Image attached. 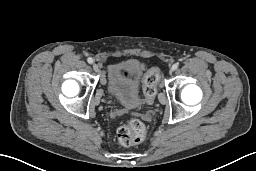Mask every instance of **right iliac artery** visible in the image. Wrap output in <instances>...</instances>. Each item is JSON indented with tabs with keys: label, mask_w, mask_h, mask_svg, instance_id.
<instances>
[{
	"label": "right iliac artery",
	"mask_w": 256,
	"mask_h": 171,
	"mask_svg": "<svg viewBox=\"0 0 256 171\" xmlns=\"http://www.w3.org/2000/svg\"><path fill=\"white\" fill-rule=\"evenodd\" d=\"M87 61H88L89 64H92V63L94 62L91 57H89V58L87 59Z\"/></svg>",
	"instance_id": "82829eb1"
}]
</instances>
